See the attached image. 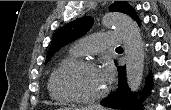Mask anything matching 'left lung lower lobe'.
<instances>
[{"mask_svg":"<svg viewBox=\"0 0 171 110\" xmlns=\"http://www.w3.org/2000/svg\"><path fill=\"white\" fill-rule=\"evenodd\" d=\"M140 23V21H138ZM119 71V85L117 90L107 99L101 101V104L106 107L120 108L121 110H141L142 102L136 98V93L129 91L126 83V69L125 66L118 67ZM147 91L151 87L150 78L147 79Z\"/></svg>","mask_w":171,"mask_h":110,"instance_id":"0a47b994","label":"left lung lower lobe"}]
</instances>
